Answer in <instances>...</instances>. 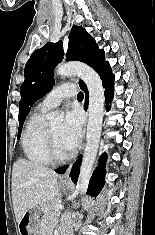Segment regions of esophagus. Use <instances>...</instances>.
<instances>
[{"label": "esophagus", "instance_id": "esophagus-1", "mask_svg": "<svg viewBox=\"0 0 155 235\" xmlns=\"http://www.w3.org/2000/svg\"><path fill=\"white\" fill-rule=\"evenodd\" d=\"M71 168H72V164L68 167L67 171L61 176L60 180L63 181V182H68L70 181V171H71Z\"/></svg>", "mask_w": 155, "mask_h": 235}]
</instances>
